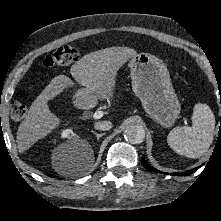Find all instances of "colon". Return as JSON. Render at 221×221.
I'll list each match as a JSON object with an SVG mask.
<instances>
[{"instance_id": "colon-1", "label": "colon", "mask_w": 221, "mask_h": 221, "mask_svg": "<svg viewBox=\"0 0 221 221\" xmlns=\"http://www.w3.org/2000/svg\"><path fill=\"white\" fill-rule=\"evenodd\" d=\"M79 59L78 50L71 45H63L57 48L53 53L47 55L42 61L44 69H53L59 66H69ZM26 106L15 101L10 110L11 118L15 121L22 120L26 115Z\"/></svg>"}]
</instances>
